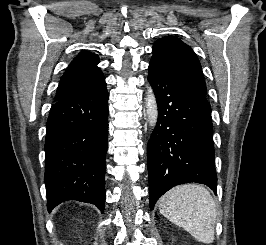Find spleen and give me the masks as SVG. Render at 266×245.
Segmentation results:
<instances>
[{"label": "spleen", "mask_w": 266, "mask_h": 245, "mask_svg": "<svg viewBox=\"0 0 266 245\" xmlns=\"http://www.w3.org/2000/svg\"><path fill=\"white\" fill-rule=\"evenodd\" d=\"M159 211L168 221L185 229L199 243H213L217 209L215 201L205 187H174L160 199Z\"/></svg>", "instance_id": "obj_1"}]
</instances>
